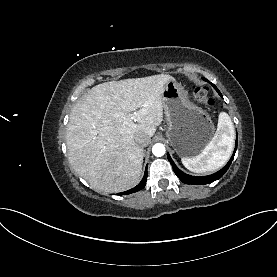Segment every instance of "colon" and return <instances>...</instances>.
I'll list each match as a JSON object with an SVG mask.
<instances>
[{
	"mask_svg": "<svg viewBox=\"0 0 277 277\" xmlns=\"http://www.w3.org/2000/svg\"><path fill=\"white\" fill-rule=\"evenodd\" d=\"M192 96L195 101L202 103L206 106L211 107L214 105V100L208 96V91L203 86L193 85Z\"/></svg>",
	"mask_w": 277,
	"mask_h": 277,
	"instance_id": "colon-1",
	"label": "colon"
}]
</instances>
